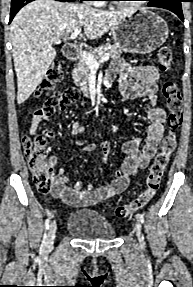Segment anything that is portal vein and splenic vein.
<instances>
[{
    "label": "portal vein and splenic vein",
    "mask_w": 193,
    "mask_h": 287,
    "mask_svg": "<svg viewBox=\"0 0 193 287\" xmlns=\"http://www.w3.org/2000/svg\"><path fill=\"white\" fill-rule=\"evenodd\" d=\"M81 32V29H75L70 36L71 40H74ZM81 55L83 56L85 62L87 63V65L91 68V69H98L100 63H103L105 61L109 60V53H105L100 60H97L96 58H94L90 53H88L87 51H82Z\"/></svg>",
    "instance_id": "obj_1"
}]
</instances>
